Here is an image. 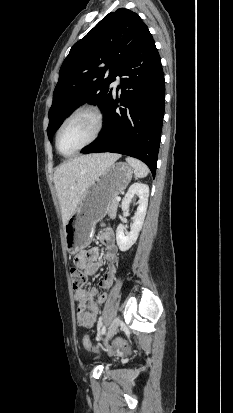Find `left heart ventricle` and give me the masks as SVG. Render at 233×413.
Instances as JSON below:
<instances>
[{
	"mask_svg": "<svg viewBox=\"0 0 233 413\" xmlns=\"http://www.w3.org/2000/svg\"><path fill=\"white\" fill-rule=\"evenodd\" d=\"M96 121L90 114L83 113L70 120L59 137V148L69 154L86 143L93 135Z\"/></svg>",
	"mask_w": 233,
	"mask_h": 413,
	"instance_id": "obj_1",
	"label": "left heart ventricle"
}]
</instances>
